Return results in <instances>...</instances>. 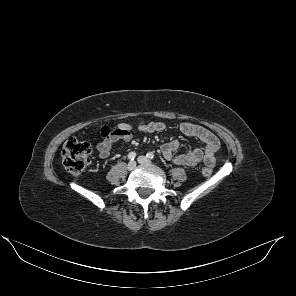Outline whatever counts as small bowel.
Instances as JSON below:
<instances>
[{
    "label": "small bowel",
    "instance_id": "obj_1",
    "mask_svg": "<svg viewBox=\"0 0 296 296\" xmlns=\"http://www.w3.org/2000/svg\"><path fill=\"white\" fill-rule=\"evenodd\" d=\"M165 129V124L156 121L140 120L134 123H120L115 128L102 126L100 130V141L96 145L99 157L107 159L111 156L115 145H124L131 141L134 133H155ZM179 129L185 136L197 139L203 149L195 148L185 150L176 154L181 149V143L178 140L167 142L161 146L163 156L178 165L196 166L200 162L212 167L215 165V153L219 148L218 138L204 127L191 123L183 122Z\"/></svg>",
    "mask_w": 296,
    "mask_h": 296
}]
</instances>
